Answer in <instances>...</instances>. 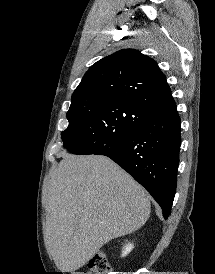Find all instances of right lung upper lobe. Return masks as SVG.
I'll return each instance as SVG.
<instances>
[{"label":"right lung upper lobe","mask_w":215,"mask_h":274,"mask_svg":"<svg viewBox=\"0 0 215 274\" xmlns=\"http://www.w3.org/2000/svg\"><path fill=\"white\" fill-rule=\"evenodd\" d=\"M119 100L153 113L176 107L157 63L134 49H123L90 67L71 103Z\"/></svg>","instance_id":"cb5924a9"}]
</instances>
